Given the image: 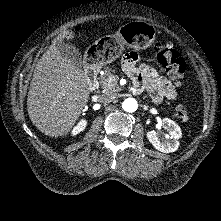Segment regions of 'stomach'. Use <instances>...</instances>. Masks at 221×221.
Segmentation results:
<instances>
[{
    "label": "stomach",
    "instance_id": "stomach-1",
    "mask_svg": "<svg viewBox=\"0 0 221 221\" xmlns=\"http://www.w3.org/2000/svg\"><path fill=\"white\" fill-rule=\"evenodd\" d=\"M155 39V28L144 22L132 21L116 32L113 37L104 36L88 47L85 57L97 65H106L117 59L122 48L130 44L145 50Z\"/></svg>",
    "mask_w": 221,
    "mask_h": 221
}]
</instances>
